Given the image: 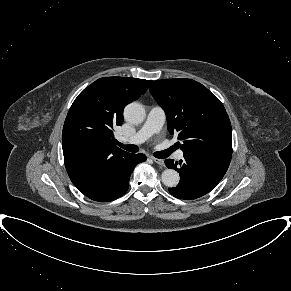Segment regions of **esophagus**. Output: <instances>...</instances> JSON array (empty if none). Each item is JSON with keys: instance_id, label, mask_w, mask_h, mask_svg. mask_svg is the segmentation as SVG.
<instances>
[{"instance_id": "esophagus-1", "label": "esophagus", "mask_w": 291, "mask_h": 291, "mask_svg": "<svg viewBox=\"0 0 291 291\" xmlns=\"http://www.w3.org/2000/svg\"><path fill=\"white\" fill-rule=\"evenodd\" d=\"M151 159H152L155 163H157L158 165H161V166L164 165V160H162V159L155 158V157H151Z\"/></svg>"}]
</instances>
